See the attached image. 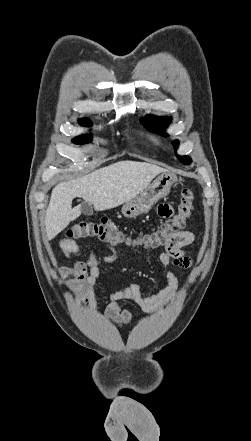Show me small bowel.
<instances>
[{
	"mask_svg": "<svg viewBox=\"0 0 251 441\" xmlns=\"http://www.w3.org/2000/svg\"><path fill=\"white\" fill-rule=\"evenodd\" d=\"M172 213L168 205L159 207V214L169 217ZM195 235L191 231H179L174 233L161 247L158 255L159 263L166 269L165 276L167 285L152 295H144L138 284H130L118 291L107 294L109 303L106 307L107 318L116 325H129L135 321L134 316L120 305V301H131L146 312H155L165 307L172 301L178 292V277L169 269L170 266L188 269L192 266V259L186 255L184 248L192 244ZM61 248L68 257H87L86 261H77L72 265L59 266L57 271L60 275L70 277L69 286L72 291L79 295V305L88 306L93 313L98 312V304L95 296V288L101 279L100 265L114 263L118 256L116 253L99 254L91 248H82L72 240L61 242ZM157 247H143L144 250Z\"/></svg>",
	"mask_w": 251,
	"mask_h": 441,
	"instance_id": "1",
	"label": "small bowel"
}]
</instances>
